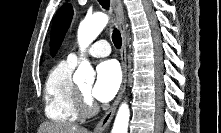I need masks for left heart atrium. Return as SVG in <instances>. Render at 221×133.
Wrapping results in <instances>:
<instances>
[{
	"mask_svg": "<svg viewBox=\"0 0 221 133\" xmlns=\"http://www.w3.org/2000/svg\"><path fill=\"white\" fill-rule=\"evenodd\" d=\"M120 82L121 74L117 63L112 60L104 61L96 68L92 96L100 102H108L117 93Z\"/></svg>",
	"mask_w": 221,
	"mask_h": 133,
	"instance_id": "1",
	"label": "left heart atrium"
}]
</instances>
